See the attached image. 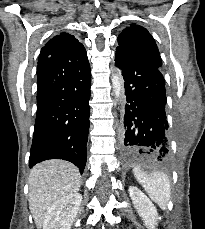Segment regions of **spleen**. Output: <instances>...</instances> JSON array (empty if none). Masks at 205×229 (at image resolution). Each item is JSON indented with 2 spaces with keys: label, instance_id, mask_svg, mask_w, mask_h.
Instances as JSON below:
<instances>
[{
  "label": "spleen",
  "instance_id": "1",
  "mask_svg": "<svg viewBox=\"0 0 205 229\" xmlns=\"http://www.w3.org/2000/svg\"><path fill=\"white\" fill-rule=\"evenodd\" d=\"M133 173L137 181L142 184L145 191L155 203L163 210L167 209L170 200V181L163 172H154L150 175L134 168Z\"/></svg>",
  "mask_w": 205,
  "mask_h": 229
}]
</instances>
